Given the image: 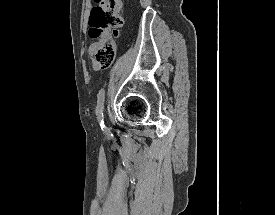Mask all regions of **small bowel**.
I'll use <instances>...</instances> for the list:
<instances>
[{
  "label": "small bowel",
  "mask_w": 275,
  "mask_h": 215,
  "mask_svg": "<svg viewBox=\"0 0 275 215\" xmlns=\"http://www.w3.org/2000/svg\"><path fill=\"white\" fill-rule=\"evenodd\" d=\"M96 47H97V42H96V41L93 42V43L90 45V47H89V54H90V56H91V60H92V61H94L93 54H94V52H95V50H96ZM94 68H95L96 70H99V69H100V67L97 66V65H94Z\"/></svg>",
  "instance_id": "c3829d8e"
}]
</instances>
